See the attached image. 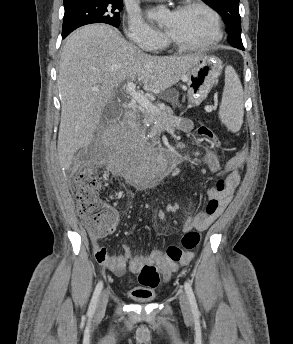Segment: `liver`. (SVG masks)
Here are the masks:
<instances>
[{
    "label": "liver",
    "mask_w": 293,
    "mask_h": 344,
    "mask_svg": "<svg viewBox=\"0 0 293 344\" xmlns=\"http://www.w3.org/2000/svg\"><path fill=\"white\" fill-rule=\"evenodd\" d=\"M199 59L196 54L148 55L103 24L74 32L63 47L59 63L60 166L69 169L77 150L92 141L102 112L121 83L137 79L145 91L162 92L181 80Z\"/></svg>",
    "instance_id": "1"
}]
</instances>
